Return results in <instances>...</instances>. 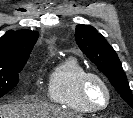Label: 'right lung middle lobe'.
<instances>
[{"label":"right lung middle lobe","mask_w":133,"mask_h":118,"mask_svg":"<svg viewBox=\"0 0 133 118\" xmlns=\"http://www.w3.org/2000/svg\"><path fill=\"white\" fill-rule=\"evenodd\" d=\"M25 64L26 62L15 65H0V97L18 84V73L21 72Z\"/></svg>","instance_id":"right-lung-middle-lobe-1"}]
</instances>
